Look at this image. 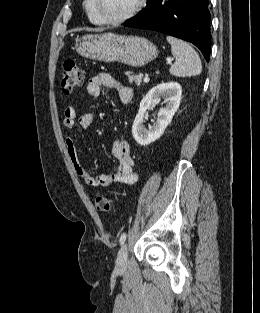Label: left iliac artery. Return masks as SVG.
Here are the masks:
<instances>
[{
    "instance_id": "left-iliac-artery-1",
    "label": "left iliac artery",
    "mask_w": 260,
    "mask_h": 313,
    "mask_svg": "<svg viewBox=\"0 0 260 313\" xmlns=\"http://www.w3.org/2000/svg\"><path fill=\"white\" fill-rule=\"evenodd\" d=\"M126 233H123L122 235H121V237H120V244H123L124 242H125V240H126Z\"/></svg>"
}]
</instances>
